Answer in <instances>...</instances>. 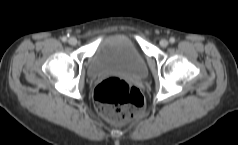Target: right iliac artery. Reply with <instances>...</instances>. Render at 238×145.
Returning <instances> with one entry per match:
<instances>
[{"label": "right iliac artery", "instance_id": "1", "mask_svg": "<svg viewBox=\"0 0 238 145\" xmlns=\"http://www.w3.org/2000/svg\"><path fill=\"white\" fill-rule=\"evenodd\" d=\"M62 41L66 42L67 41V37H62Z\"/></svg>", "mask_w": 238, "mask_h": 145}]
</instances>
